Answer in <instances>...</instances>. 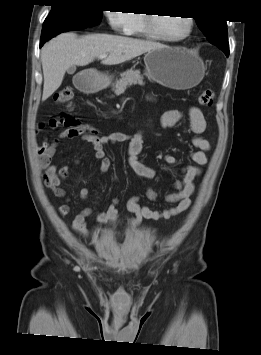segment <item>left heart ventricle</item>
Segmentation results:
<instances>
[{"label":"left heart ventricle","instance_id":"obj_1","mask_svg":"<svg viewBox=\"0 0 261 355\" xmlns=\"http://www.w3.org/2000/svg\"><path fill=\"white\" fill-rule=\"evenodd\" d=\"M158 31L167 37L178 38L188 30V23L184 17H156Z\"/></svg>","mask_w":261,"mask_h":355}]
</instances>
